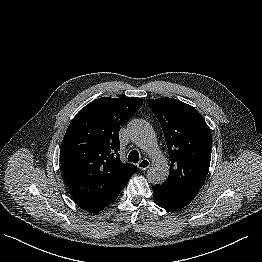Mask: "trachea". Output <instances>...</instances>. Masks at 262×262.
Returning a JSON list of instances; mask_svg holds the SVG:
<instances>
[{"label": "trachea", "instance_id": "obj_1", "mask_svg": "<svg viewBox=\"0 0 262 262\" xmlns=\"http://www.w3.org/2000/svg\"><path fill=\"white\" fill-rule=\"evenodd\" d=\"M128 161L137 163L139 161V153L137 150H133L128 155Z\"/></svg>", "mask_w": 262, "mask_h": 262}]
</instances>
